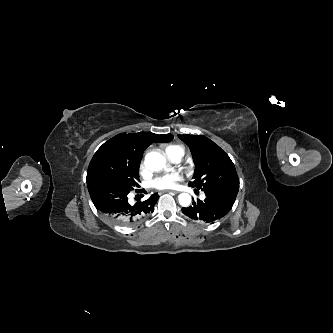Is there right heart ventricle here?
Segmentation results:
<instances>
[{"mask_svg":"<svg viewBox=\"0 0 333 333\" xmlns=\"http://www.w3.org/2000/svg\"><path fill=\"white\" fill-rule=\"evenodd\" d=\"M177 151H180V152H183V148L179 145H175V144H171V145H168L165 149V152L167 154V156L171 153H174V152H177Z\"/></svg>","mask_w":333,"mask_h":333,"instance_id":"1","label":"right heart ventricle"}]
</instances>
